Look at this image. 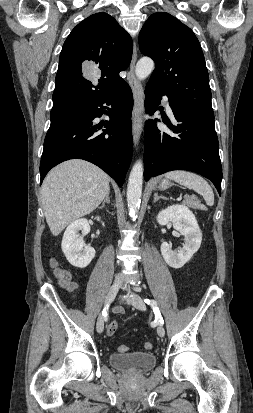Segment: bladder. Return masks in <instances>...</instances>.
Instances as JSON below:
<instances>
[{
	"instance_id": "31cf9c89",
	"label": "bladder",
	"mask_w": 253,
	"mask_h": 413,
	"mask_svg": "<svg viewBox=\"0 0 253 413\" xmlns=\"http://www.w3.org/2000/svg\"><path fill=\"white\" fill-rule=\"evenodd\" d=\"M156 362L157 358L151 352L112 353L109 356L111 366L133 373L146 372L152 369Z\"/></svg>"
}]
</instances>
